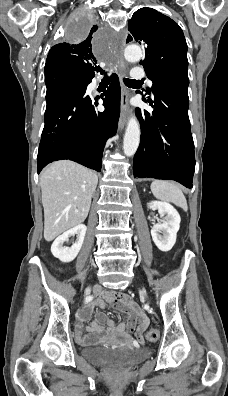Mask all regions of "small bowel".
Returning a JSON list of instances; mask_svg holds the SVG:
<instances>
[{
	"label": "small bowel",
	"mask_w": 228,
	"mask_h": 396,
	"mask_svg": "<svg viewBox=\"0 0 228 396\" xmlns=\"http://www.w3.org/2000/svg\"><path fill=\"white\" fill-rule=\"evenodd\" d=\"M105 304H109L117 310L127 311L129 313L127 320L116 324L113 320L108 319L105 313L98 312L95 321L85 333L83 322L90 317L94 308H104ZM147 326V316L126 294L99 292L98 296L80 311L75 331L76 338L81 343L93 341L102 335L128 339L130 334H134L137 339L141 340Z\"/></svg>",
	"instance_id": "small-bowel-1"
}]
</instances>
